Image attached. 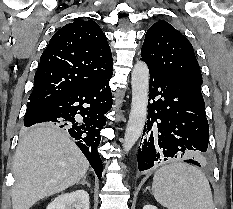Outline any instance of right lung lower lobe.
Returning a JSON list of instances; mask_svg holds the SVG:
<instances>
[{"label":"right lung lower lobe","mask_w":233,"mask_h":209,"mask_svg":"<svg viewBox=\"0 0 233 209\" xmlns=\"http://www.w3.org/2000/svg\"><path fill=\"white\" fill-rule=\"evenodd\" d=\"M111 77L112 74L88 87L61 95L24 119L26 127L54 122L57 127L64 128L74 138L98 178L102 176L103 165L97 148L100 131L106 124L104 115L112 106ZM78 114L82 118H78Z\"/></svg>","instance_id":"98d812e1"}]
</instances>
